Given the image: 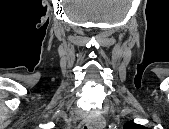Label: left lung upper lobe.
<instances>
[{
  "label": "left lung upper lobe",
  "instance_id": "5c2ea615",
  "mask_svg": "<svg viewBox=\"0 0 169 129\" xmlns=\"http://www.w3.org/2000/svg\"><path fill=\"white\" fill-rule=\"evenodd\" d=\"M144 128L141 125L135 124L133 122H128L125 124L124 129H142Z\"/></svg>",
  "mask_w": 169,
  "mask_h": 129
}]
</instances>
